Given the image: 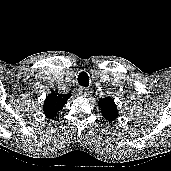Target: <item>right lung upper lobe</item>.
Segmentation results:
<instances>
[{
	"mask_svg": "<svg viewBox=\"0 0 171 171\" xmlns=\"http://www.w3.org/2000/svg\"><path fill=\"white\" fill-rule=\"evenodd\" d=\"M71 94H58L52 92L48 95L44 102V114L46 117L52 119L58 115V112L63 108L67 100L70 98Z\"/></svg>",
	"mask_w": 171,
	"mask_h": 171,
	"instance_id": "obj_1",
	"label": "right lung upper lobe"
}]
</instances>
